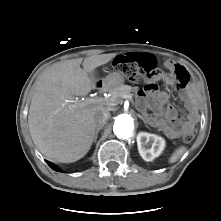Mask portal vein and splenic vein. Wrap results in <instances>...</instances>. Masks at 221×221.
<instances>
[{
  "label": "portal vein and splenic vein",
  "mask_w": 221,
  "mask_h": 221,
  "mask_svg": "<svg viewBox=\"0 0 221 221\" xmlns=\"http://www.w3.org/2000/svg\"><path fill=\"white\" fill-rule=\"evenodd\" d=\"M124 99H128V100H131L132 97L128 96V95H125L123 96ZM102 102V99H92V98H89L85 101L86 104H97V103H101Z\"/></svg>",
  "instance_id": "portal-vein-and-splenic-vein-1"
}]
</instances>
